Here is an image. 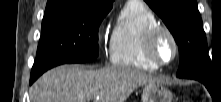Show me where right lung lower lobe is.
<instances>
[{"mask_svg": "<svg viewBox=\"0 0 221 102\" xmlns=\"http://www.w3.org/2000/svg\"><path fill=\"white\" fill-rule=\"evenodd\" d=\"M37 78H38V77H33V76H31V77H30V84H32Z\"/></svg>", "mask_w": 221, "mask_h": 102, "instance_id": "1", "label": "right lung lower lobe"}]
</instances>
